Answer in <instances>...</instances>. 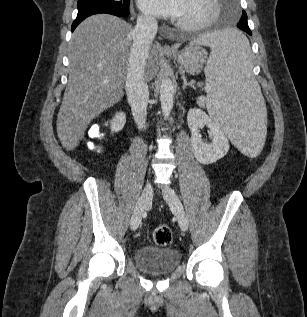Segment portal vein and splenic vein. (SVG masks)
<instances>
[{
    "label": "portal vein and splenic vein",
    "instance_id": "1",
    "mask_svg": "<svg viewBox=\"0 0 307 317\" xmlns=\"http://www.w3.org/2000/svg\"><path fill=\"white\" fill-rule=\"evenodd\" d=\"M204 90L208 93L211 91V87L209 85L204 87Z\"/></svg>",
    "mask_w": 307,
    "mask_h": 317
}]
</instances>
